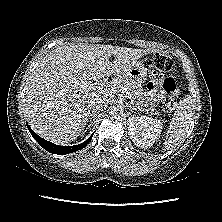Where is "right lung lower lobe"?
Returning <instances> with one entry per match:
<instances>
[{"label": "right lung lower lobe", "mask_w": 222, "mask_h": 222, "mask_svg": "<svg viewBox=\"0 0 222 222\" xmlns=\"http://www.w3.org/2000/svg\"><path fill=\"white\" fill-rule=\"evenodd\" d=\"M27 127L31 133V135L33 136V138L40 144L41 147H43L45 150L49 151L50 153H54V154H68V153H72L75 151H78L82 148H84L91 140L93 134L83 143L78 144V145H74V146H59L56 145L54 143H51L43 138H41L40 136H38L27 124Z\"/></svg>", "instance_id": "obj_1"}]
</instances>
